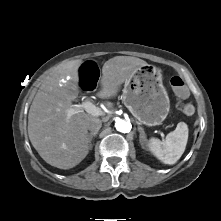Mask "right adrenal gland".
Listing matches in <instances>:
<instances>
[{
  "mask_svg": "<svg viewBox=\"0 0 221 221\" xmlns=\"http://www.w3.org/2000/svg\"><path fill=\"white\" fill-rule=\"evenodd\" d=\"M96 135H97V132L90 133V134L88 135L89 140L92 141V139H93L94 137H96Z\"/></svg>",
  "mask_w": 221,
  "mask_h": 221,
  "instance_id": "1",
  "label": "right adrenal gland"
}]
</instances>
